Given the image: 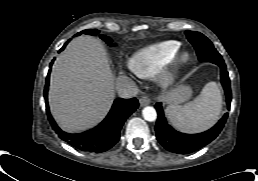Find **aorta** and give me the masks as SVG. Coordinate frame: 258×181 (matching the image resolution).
<instances>
[{"mask_svg": "<svg viewBox=\"0 0 258 181\" xmlns=\"http://www.w3.org/2000/svg\"><path fill=\"white\" fill-rule=\"evenodd\" d=\"M142 115L144 117L145 120L147 121H155L157 118V112L156 110L151 107V106H147L142 110Z\"/></svg>", "mask_w": 258, "mask_h": 181, "instance_id": "1", "label": "aorta"}]
</instances>
